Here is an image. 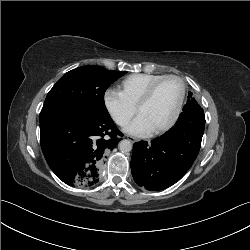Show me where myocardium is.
Segmentation results:
<instances>
[{
  "instance_id": "1",
  "label": "myocardium",
  "mask_w": 250,
  "mask_h": 250,
  "mask_svg": "<svg viewBox=\"0 0 250 250\" xmlns=\"http://www.w3.org/2000/svg\"><path fill=\"white\" fill-rule=\"evenodd\" d=\"M168 79H175V80H177L180 83V85H181L180 96H179L176 108H175L174 113L171 116V118L168 120L167 123H165L161 127L152 130L150 132L151 135H159V134H162V133L168 131L170 128L173 127V125L178 120V118L180 116V113L182 111V106H183V102H184L185 94H186L185 82H184V80L180 76H177V75H164L161 78H159L158 80L154 81L146 89V91L143 93V95L141 96V98L139 99V101L136 104V111H137V113H139L140 109L152 98V96H153L155 90L157 89V87L162 82H164L165 80H168Z\"/></svg>"
}]
</instances>
